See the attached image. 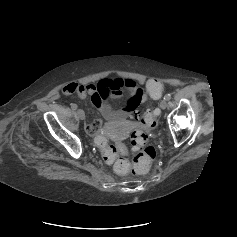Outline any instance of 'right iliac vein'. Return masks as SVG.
<instances>
[{
  "label": "right iliac vein",
  "instance_id": "right-iliac-vein-1",
  "mask_svg": "<svg viewBox=\"0 0 237 237\" xmlns=\"http://www.w3.org/2000/svg\"><path fill=\"white\" fill-rule=\"evenodd\" d=\"M77 115L81 120L85 119V113L83 110H81V109L77 110Z\"/></svg>",
  "mask_w": 237,
  "mask_h": 237
}]
</instances>
